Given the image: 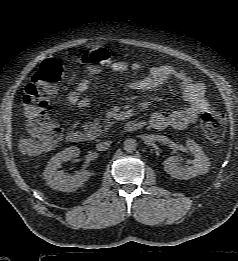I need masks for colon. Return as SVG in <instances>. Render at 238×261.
Masks as SVG:
<instances>
[{
  "mask_svg": "<svg viewBox=\"0 0 238 261\" xmlns=\"http://www.w3.org/2000/svg\"><path fill=\"white\" fill-rule=\"evenodd\" d=\"M82 60L92 72H97L109 62L110 53L103 47L87 48L82 53ZM63 66L55 59H47L32 74L30 83L23 95L26 122L31 133L20 143L26 153H41L54 147L61 138V129L47 113V92L56 89L63 76ZM227 115L218 109H210L202 115L201 126L206 137L219 142L223 139Z\"/></svg>",
  "mask_w": 238,
  "mask_h": 261,
  "instance_id": "1",
  "label": "colon"
}]
</instances>
